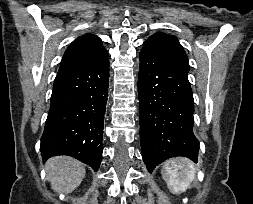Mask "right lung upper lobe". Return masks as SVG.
<instances>
[{"label":"right lung upper lobe","instance_id":"cb5924a9","mask_svg":"<svg viewBox=\"0 0 253 204\" xmlns=\"http://www.w3.org/2000/svg\"><path fill=\"white\" fill-rule=\"evenodd\" d=\"M104 50L102 41L97 36L93 34L80 36L66 49L58 73L71 69Z\"/></svg>","mask_w":253,"mask_h":204}]
</instances>
